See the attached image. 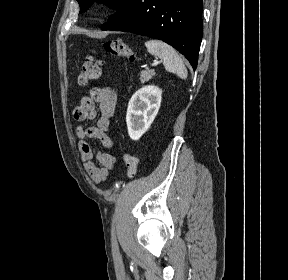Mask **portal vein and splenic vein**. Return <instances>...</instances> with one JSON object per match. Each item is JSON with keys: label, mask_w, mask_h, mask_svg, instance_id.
<instances>
[{"label": "portal vein and splenic vein", "mask_w": 288, "mask_h": 280, "mask_svg": "<svg viewBox=\"0 0 288 280\" xmlns=\"http://www.w3.org/2000/svg\"><path fill=\"white\" fill-rule=\"evenodd\" d=\"M160 63V61H155L154 63H152V66H156Z\"/></svg>", "instance_id": "18ae733b"}]
</instances>
